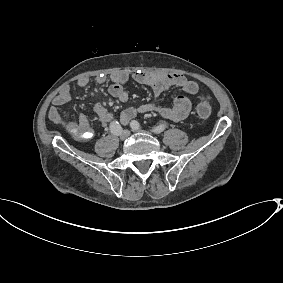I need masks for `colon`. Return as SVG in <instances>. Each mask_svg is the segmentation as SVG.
<instances>
[{"mask_svg": "<svg viewBox=\"0 0 283 283\" xmlns=\"http://www.w3.org/2000/svg\"><path fill=\"white\" fill-rule=\"evenodd\" d=\"M196 112L200 118H207L210 116L211 104L208 96L206 95L202 96L200 103L197 105ZM68 128L71 132L75 133L76 135H81L84 136L85 138L90 137V131L82 130L79 127V125L76 123L71 124Z\"/></svg>", "mask_w": 283, "mask_h": 283, "instance_id": "1", "label": "colon"}]
</instances>
